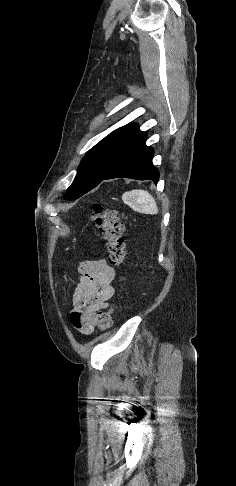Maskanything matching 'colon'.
<instances>
[{
  "label": "colon",
  "mask_w": 236,
  "mask_h": 486,
  "mask_svg": "<svg viewBox=\"0 0 236 486\" xmlns=\"http://www.w3.org/2000/svg\"><path fill=\"white\" fill-rule=\"evenodd\" d=\"M92 220L101 232L105 241L109 262L121 266L126 260V243L124 238V225L119 219L118 211L105 209L100 204L93 206ZM116 306L97 314L96 323L99 330L109 329L113 324V315Z\"/></svg>",
  "instance_id": "obj_1"
}]
</instances>
